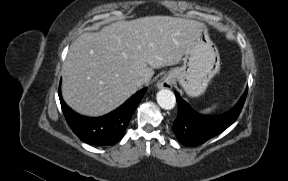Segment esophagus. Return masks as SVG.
Here are the masks:
<instances>
[{
	"label": "esophagus",
	"mask_w": 288,
	"mask_h": 181,
	"mask_svg": "<svg viewBox=\"0 0 288 181\" xmlns=\"http://www.w3.org/2000/svg\"><path fill=\"white\" fill-rule=\"evenodd\" d=\"M172 84L173 79L169 76H165L158 81L157 86L158 88L170 89L172 87Z\"/></svg>",
	"instance_id": "1"
}]
</instances>
